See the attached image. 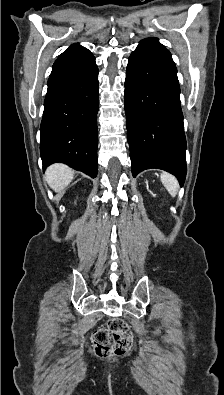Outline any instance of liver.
Here are the masks:
<instances>
[{
  "mask_svg": "<svg viewBox=\"0 0 224 395\" xmlns=\"http://www.w3.org/2000/svg\"><path fill=\"white\" fill-rule=\"evenodd\" d=\"M73 178L74 170L61 163H55L49 166L45 173L47 183L55 192L65 189Z\"/></svg>",
  "mask_w": 224,
  "mask_h": 395,
  "instance_id": "obj_1",
  "label": "liver"
}]
</instances>
